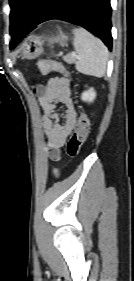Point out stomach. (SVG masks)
Masks as SVG:
<instances>
[{
    "label": "stomach",
    "mask_w": 134,
    "mask_h": 281,
    "mask_svg": "<svg viewBox=\"0 0 134 281\" xmlns=\"http://www.w3.org/2000/svg\"><path fill=\"white\" fill-rule=\"evenodd\" d=\"M64 36L62 34L52 37L50 43H57L62 41ZM43 53V41L40 37L32 36L25 43L22 51V56L25 59H35Z\"/></svg>",
    "instance_id": "0dacf381"
}]
</instances>
